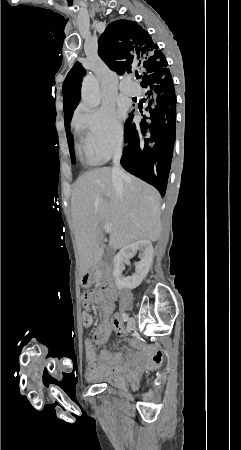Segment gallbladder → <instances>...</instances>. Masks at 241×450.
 <instances>
[{"instance_id": "obj_1", "label": "gallbladder", "mask_w": 241, "mask_h": 450, "mask_svg": "<svg viewBox=\"0 0 241 450\" xmlns=\"http://www.w3.org/2000/svg\"><path fill=\"white\" fill-rule=\"evenodd\" d=\"M110 256H111V254H109V252H107V254H105L106 260H109Z\"/></svg>"}]
</instances>
